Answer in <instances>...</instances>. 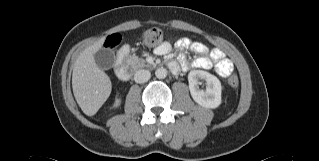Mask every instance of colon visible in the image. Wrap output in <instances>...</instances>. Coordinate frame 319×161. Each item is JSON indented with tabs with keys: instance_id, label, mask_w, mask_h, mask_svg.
Wrapping results in <instances>:
<instances>
[{
	"instance_id": "1",
	"label": "colon",
	"mask_w": 319,
	"mask_h": 161,
	"mask_svg": "<svg viewBox=\"0 0 319 161\" xmlns=\"http://www.w3.org/2000/svg\"><path fill=\"white\" fill-rule=\"evenodd\" d=\"M164 38V31L161 28L154 27L150 28L147 31L143 33L142 36V42L146 46H155L159 44ZM120 42V36L115 35L111 41L110 44L117 45ZM239 84L238 77L234 74L229 78V85L232 88H237Z\"/></svg>"
}]
</instances>
